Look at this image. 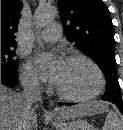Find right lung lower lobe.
<instances>
[{
  "label": "right lung lower lobe",
  "mask_w": 123,
  "mask_h": 130,
  "mask_svg": "<svg viewBox=\"0 0 123 130\" xmlns=\"http://www.w3.org/2000/svg\"><path fill=\"white\" fill-rule=\"evenodd\" d=\"M1 84L14 87L19 84L18 77H13L5 73H1Z\"/></svg>",
  "instance_id": "obj_1"
}]
</instances>
